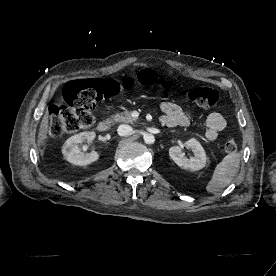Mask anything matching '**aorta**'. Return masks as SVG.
I'll return each instance as SVG.
<instances>
[{
	"mask_svg": "<svg viewBox=\"0 0 276 276\" xmlns=\"http://www.w3.org/2000/svg\"><path fill=\"white\" fill-rule=\"evenodd\" d=\"M143 138L146 144H153L155 142L154 135L150 133L145 134Z\"/></svg>",
	"mask_w": 276,
	"mask_h": 276,
	"instance_id": "1",
	"label": "aorta"
}]
</instances>
